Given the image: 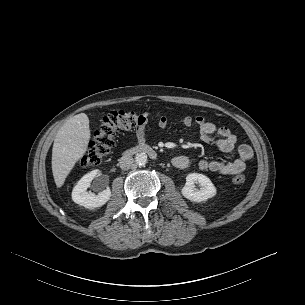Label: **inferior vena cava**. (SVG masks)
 <instances>
[{
  "mask_svg": "<svg viewBox=\"0 0 305 305\" xmlns=\"http://www.w3.org/2000/svg\"><path fill=\"white\" fill-rule=\"evenodd\" d=\"M134 159L131 156H122L119 160V166L122 170H128L132 167Z\"/></svg>",
  "mask_w": 305,
  "mask_h": 305,
  "instance_id": "1",
  "label": "inferior vena cava"
}]
</instances>
